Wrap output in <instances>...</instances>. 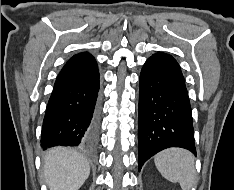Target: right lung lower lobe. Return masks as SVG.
<instances>
[{"instance_id":"1","label":"right lung lower lobe","mask_w":234,"mask_h":190,"mask_svg":"<svg viewBox=\"0 0 234 190\" xmlns=\"http://www.w3.org/2000/svg\"><path fill=\"white\" fill-rule=\"evenodd\" d=\"M99 71L91 54L71 57L59 73L43 120L41 146L93 144L99 123Z\"/></svg>"}]
</instances>
